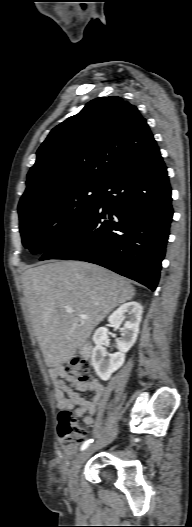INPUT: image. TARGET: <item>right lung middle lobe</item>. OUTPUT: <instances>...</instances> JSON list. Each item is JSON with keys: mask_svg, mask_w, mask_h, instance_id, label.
I'll return each instance as SVG.
<instances>
[{"mask_svg": "<svg viewBox=\"0 0 192 527\" xmlns=\"http://www.w3.org/2000/svg\"><path fill=\"white\" fill-rule=\"evenodd\" d=\"M104 185L84 183L18 206L22 243L45 253L78 227L99 200Z\"/></svg>", "mask_w": 192, "mask_h": 527, "instance_id": "1", "label": "right lung middle lobe"}]
</instances>
